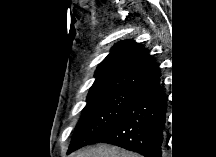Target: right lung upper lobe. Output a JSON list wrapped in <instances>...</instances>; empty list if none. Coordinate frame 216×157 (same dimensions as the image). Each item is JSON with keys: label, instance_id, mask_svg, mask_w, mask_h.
Returning a JSON list of instances; mask_svg holds the SVG:
<instances>
[{"label": "right lung upper lobe", "instance_id": "right-lung-upper-lobe-1", "mask_svg": "<svg viewBox=\"0 0 216 157\" xmlns=\"http://www.w3.org/2000/svg\"><path fill=\"white\" fill-rule=\"evenodd\" d=\"M94 77L88 98L118 89L144 87L160 77V70L140 43L124 40L112 47Z\"/></svg>", "mask_w": 216, "mask_h": 157}]
</instances>
